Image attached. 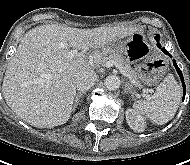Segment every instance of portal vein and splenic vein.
Instances as JSON below:
<instances>
[{"instance_id": "portal-vein-and-splenic-vein-1", "label": "portal vein and splenic vein", "mask_w": 190, "mask_h": 165, "mask_svg": "<svg viewBox=\"0 0 190 165\" xmlns=\"http://www.w3.org/2000/svg\"><path fill=\"white\" fill-rule=\"evenodd\" d=\"M77 54H78V50H76V49L70 50V51L68 52V55H69L70 57H74V56H76ZM111 66L117 67V68L119 69V71H120L123 75H125L128 79H130V81H131L133 84H136V81H135V80L123 69V67H121L117 62H114V61H109V62H107L106 67H111Z\"/></svg>"}]
</instances>
